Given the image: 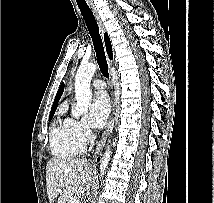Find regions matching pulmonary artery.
Returning <instances> with one entry per match:
<instances>
[{"mask_svg": "<svg viewBox=\"0 0 214 203\" xmlns=\"http://www.w3.org/2000/svg\"><path fill=\"white\" fill-rule=\"evenodd\" d=\"M92 86H93L95 89L103 90V89H105L106 84H105V82H104L103 80H101V79H96V80L93 81Z\"/></svg>", "mask_w": 214, "mask_h": 203, "instance_id": "1", "label": "pulmonary artery"}]
</instances>
